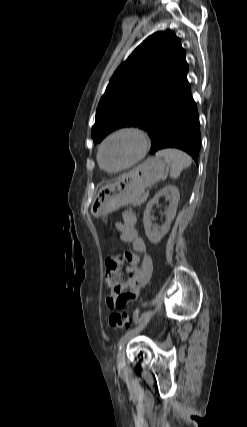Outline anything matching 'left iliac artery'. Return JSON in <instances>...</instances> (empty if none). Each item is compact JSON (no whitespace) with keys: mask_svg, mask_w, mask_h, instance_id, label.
<instances>
[{"mask_svg":"<svg viewBox=\"0 0 247 427\" xmlns=\"http://www.w3.org/2000/svg\"><path fill=\"white\" fill-rule=\"evenodd\" d=\"M143 326H144V322L140 323L137 327H135V328H133V329L128 330V331H127V332L122 336V338L120 339L119 345L121 344V342H122L123 340H125V339H126V338H128L130 335H132V333H133L134 331L141 329Z\"/></svg>","mask_w":247,"mask_h":427,"instance_id":"left-iliac-artery-1","label":"left iliac artery"}]
</instances>
